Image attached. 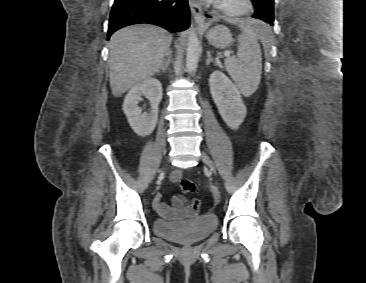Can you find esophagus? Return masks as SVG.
<instances>
[{
  "label": "esophagus",
  "instance_id": "1",
  "mask_svg": "<svg viewBox=\"0 0 366 283\" xmlns=\"http://www.w3.org/2000/svg\"><path fill=\"white\" fill-rule=\"evenodd\" d=\"M189 6L191 9V13L193 18L198 25L199 29H206L208 27L205 22V17L202 11L200 4L196 0H189Z\"/></svg>",
  "mask_w": 366,
  "mask_h": 283
}]
</instances>
